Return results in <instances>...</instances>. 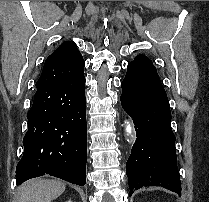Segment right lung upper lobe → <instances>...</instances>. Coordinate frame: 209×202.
<instances>
[{"label": "right lung upper lobe", "mask_w": 209, "mask_h": 202, "mask_svg": "<svg viewBox=\"0 0 209 202\" xmlns=\"http://www.w3.org/2000/svg\"><path fill=\"white\" fill-rule=\"evenodd\" d=\"M52 57L65 59L60 65H57L58 69L61 70V73L71 77H77L84 74L83 70L85 62L74 43H71L70 41L62 43L48 58Z\"/></svg>", "instance_id": "right-lung-upper-lobe-1"}]
</instances>
